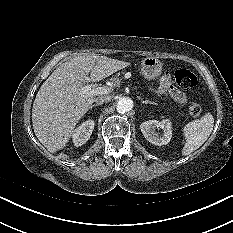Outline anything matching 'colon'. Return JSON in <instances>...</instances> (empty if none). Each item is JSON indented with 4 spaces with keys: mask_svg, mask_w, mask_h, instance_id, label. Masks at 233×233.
I'll list each match as a JSON object with an SVG mask.
<instances>
[{
    "mask_svg": "<svg viewBox=\"0 0 233 233\" xmlns=\"http://www.w3.org/2000/svg\"><path fill=\"white\" fill-rule=\"evenodd\" d=\"M175 82L185 91H192L198 84L197 77L194 73L187 69H176L173 74ZM189 111L193 117H198L201 114V107L195 102L189 104Z\"/></svg>",
    "mask_w": 233,
    "mask_h": 233,
    "instance_id": "obj_1",
    "label": "colon"
}]
</instances>
